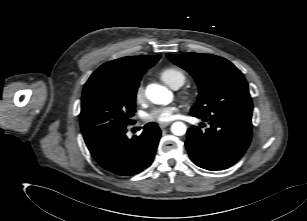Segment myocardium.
Here are the masks:
<instances>
[{
    "label": "myocardium",
    "mask_w": 307,
    "mask_h": 221,
    "mask_svg": "<svg viewBox=\"0 0 307 221\" xmlns=\"http://www.w3.org/2000/svg\"><path fill=\"white\" fill-rule=\"evenodd\" d=\"M181 98L184 99L187 103H192L194 95L191 92L184 91L180 94Z\"/></svg>",
    "instance_id": "1"
}]
</instances>
